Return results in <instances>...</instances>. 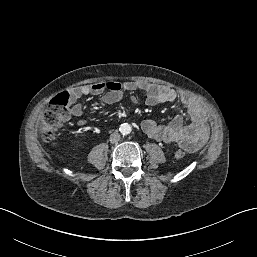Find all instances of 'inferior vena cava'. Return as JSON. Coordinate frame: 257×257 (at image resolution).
Returning <instances> with one entry per match:
<instances>
[{
	"label": "inferior vena cava",
	"mask_w": 257,
	"mask_h": 257,
	"mask_svg": "<svg viewBox=\"0 0 257 257\" xmlns=\"http://www.w3.org/2000/svg\"><path fill=\"white\" fill-rule=\"evenodd\" d=\"M120 140V134L118 132H114L110 135V142L111 143H118Z\"/></svg>",
	"instance_id": "602c4592"
}]
</instances>
